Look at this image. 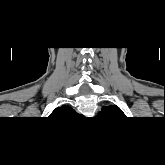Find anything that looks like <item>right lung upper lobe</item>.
<instances>
[{"label": "right lung upper lobe", "instance_id": "right-lung-upper-lobe-1", "mask_svg": "<svg viewBox=\"0 0 165 165\" xmlns=\"http://www.w3.org/2000/svg\"><path fill=\"white\" fill-rule=\"evenodd\" d=\"M75 110H73L70 106H61L56 108L52 114L49 116L50 118H65L66 116L73 115Z\"/></svg>", "mask_w": 165, "mask_h": 165}]
</instances>
